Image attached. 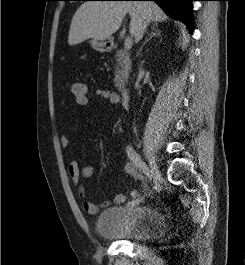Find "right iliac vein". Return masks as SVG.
Returning <instances> with one entry per match:
<instances>
[{
  "label": "right iliac vein",
  "mask_w": 245,
  "mask_h": 265,
  "mask_svg": "<svg viewBox=\"0 0 245 265\" xmlns=\"http://www.w3.org/2000/svg\"><path fill=\"white\" fill-rule=\"evenodd\" d=\"M149 167H150V174L154 181H157L160 177V172L158 166L152 156H149Z\"/></svg>",
  "instance_id": "1"
}]
</instances>
